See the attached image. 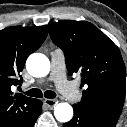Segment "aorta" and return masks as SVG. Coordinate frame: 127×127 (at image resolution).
Here are the masks:
<instances>
[{"mask_svg": "<svg viewBox=\"0 0 127 127\" xmlns=\"http://www.w3.org/2000/svg\"><path fill=\"white\" fill-rule=\"evenodd\" d=\"M26 69L34 77H45L50 71V61L44 54L33 53L26 61ZM54 116L59 122H68L73 117V108L66 102L58 103L54 108Z\"/></svg>", "mask_w": 127, "mask_h": 127, "instance_id": "1", "label": "aorta"}]
</instances>
